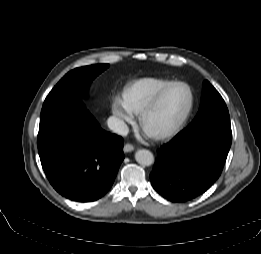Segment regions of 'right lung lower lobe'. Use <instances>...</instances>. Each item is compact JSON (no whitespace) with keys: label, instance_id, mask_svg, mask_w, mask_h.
I'll return each instance as SVG.
<instances>
[{"label":"right lung lower lobe","instance_id":"obj_1","mask_svg":"<svg viewBox=\"0 0 261 254\" xmlns=\"http://www.w3.org/2000/svg\"><path fill=\"white\" fill-rule=\"evenodd\" d=\"M38 152L54 189L79 202L102 197L124 159L123 139L101 129L79 98L43 104Z\"/></svg>","mask_w":261,"mask_h":254}]
</instances>
